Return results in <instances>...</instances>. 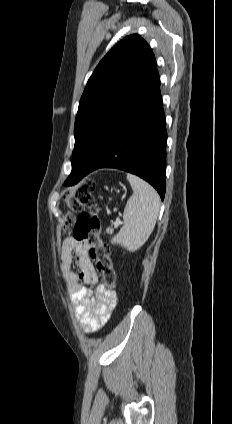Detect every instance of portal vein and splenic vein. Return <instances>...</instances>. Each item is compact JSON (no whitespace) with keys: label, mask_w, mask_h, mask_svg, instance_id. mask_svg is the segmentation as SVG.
<instances>
[{"label":"portal vein and splenic vein","mask_w":232,"mask_h":424,"mask_svg":"<svg viewBox=\"0 0 232 424\" xmlns=\"http://www.w3.org/2000/svg\"><path fill=\"white\" fill-rule=\"evenodd\" d=\"M120 223H121L120 220H117L115 225L118 226Z\"/></svg>","instance_id":"18ae733b"}]
</instances>
